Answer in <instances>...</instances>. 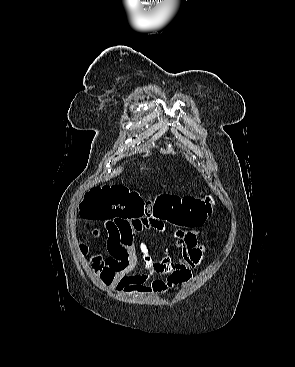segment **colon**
Instances as JSON below:
<instances>
[{"mask_svg": "<svg viewBox=\"0 0 295 367\" xmlns=\"http://www.w3.org/2000/svg\"><path fill=\"white\" fill-rule=\"evenodd\" d=\"M211 208L209 196L160 194L154 201L145 202L137 192L122 184L95 186L79 205L80 215L89 220L109 222L151 218L167 220L188 229L202 226ZM95 267H101L99 258L95 259Z\"/></svg>", "mask_w": 295, "mask_h": 367, "instance_id": "obj_1", "label": "colon"}]
</instances>
